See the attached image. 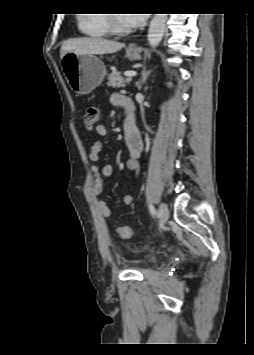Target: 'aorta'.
I'll return each mask as SVG.
<instances>
[{
    "label": "aorta",
    "mask_w": 254,
    "mask_h": 355,
    "mask_svg": "<svg viewBox=\"0 0 254 355\" xmlns=\"http://www.w3.org/2000/svg\"><path fill=\"white\" fill-rule=\"evenodd\" d=\"M167 14H155L148 30V42L156 47L162 40L166 29Z\"/></svg>",
    "instance_id": "1"
}]
</instances>
